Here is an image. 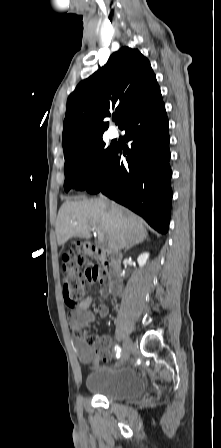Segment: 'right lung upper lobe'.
Masks as SVG:
<instances>
[{"instance_id":"cb5924a9","label":"right lung upper lobe","mask_w":221,"mask_h":448,"mask_svg":"<svg viewBox=\"0 0 221 448\" xmlns=\"http://www.w3.org/2000/svg\"><path fill=\"white\" fill-rule=\"evenodd\" d=\"M156 76L146 57L137 49L122 47L89 78L81 81L67 100L62 135L64 157L102 138L114 110L117 124L159 95Z\"/></svg>"}]
</instances>
